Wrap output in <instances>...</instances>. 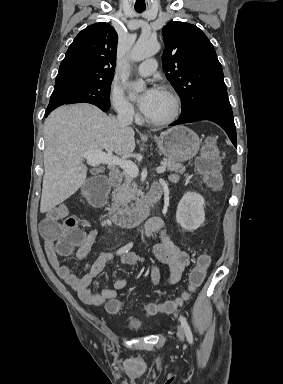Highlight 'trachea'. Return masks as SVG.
Masks as SVG:
<instances>
[{
	"label": "trachea",
	"mask_w": 283,
	"mask_h": 384,
	"mask_svg": "<svg viewBox=\"0 0 283 384\" xmlns=\"http://www.w3.org/2000/svg\"><path fill=\"white\" fill-rule=\"evenodd\" d=\"M135 10L138 12V13H141L143 12L144 10H146L145 8H135Z\"/></svg>",
	"instance_id": "trachea-1"
}]
</instances>
